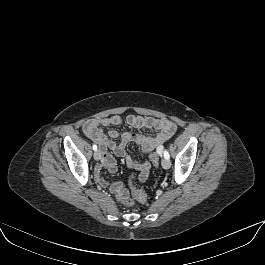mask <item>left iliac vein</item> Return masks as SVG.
<instances>
[{"label":"left iliac vein","mask_w":265,"mask_h":265,"mask_svg":"<svg viewBox=\"0 0 265 265\" xmlns=\"http://www.w3.org/2000/svg\"><path fill=\"white\" fill-rule=\"evenodd\" d=\"M161 164L164 169H169L171 166L169 159H166V158L162 159Z\"/></svg>","instance_id":"1"}]
</instances>
